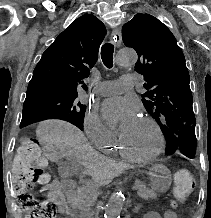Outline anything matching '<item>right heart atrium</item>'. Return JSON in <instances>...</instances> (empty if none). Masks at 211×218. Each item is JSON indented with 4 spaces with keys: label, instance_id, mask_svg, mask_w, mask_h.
<instances>
[{
    "label": "right heart atrium",
    "instance_id": "1",
    "mask_svg": "<svg viewBox=\"0 0 211 218\" xmlns=\"http://www.w3.org/2000/svg\"><path fill=\"white\" fill-rule=\"evenodd\" d=\"M83 125L92 144L99 149L115 139L94 111L88 110L85 113Z\"/></svg>",
    "mask_w": 211,
    "mask_h": 218
}]
</instances>
